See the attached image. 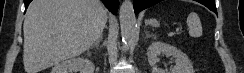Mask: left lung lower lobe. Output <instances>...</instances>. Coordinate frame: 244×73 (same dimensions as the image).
I'll list each match as a JSON object with an SVG mask.
<instances>
[{"mask_svg":"<svg viewBox=\"0 0 244 73\" xmlns=\"http://www.w3.org/2000/svg\"><path fill=\"white\" fill-rule=\"evenodd\" d=\"M162 0H133V6L135 14H138L141 10L155 5ZM201 4L205 5L212 11H216L215 0H197Z\"/></svg>","mask_w":244,"mask_h":73,"instance_id":"left-lung-lower-lobe-1","label":"left lung lower lobe"}]
</instances>
